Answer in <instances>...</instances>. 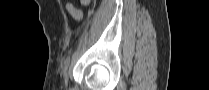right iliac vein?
Here are the masks:
<instances>
[{"label":"right iliac vein","instance_id":"63e3f726","mask_svg":"<svg viewBox=\"0 0 209 90\" xmlns=\"http://www.w3.org/2000/svg\"><path fill=\"white\" fill-rule=\"evenodd\" d=\"M67 77H68V66L66 67V74H65L66 81H67Z\"/></svg>","mask_w":209,"mask_h":90}]
</instances>
